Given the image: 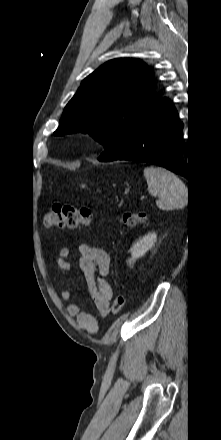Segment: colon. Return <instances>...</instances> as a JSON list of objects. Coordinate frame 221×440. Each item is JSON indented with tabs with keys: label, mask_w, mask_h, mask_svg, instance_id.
<instances>
[{
	"label": "colon",
	"mask_w": 221,
	"mask_h": 440,
	"mask_svg": "<svg viewBox=\"0 0 221 440\" xmlns=\"http://www.w3.org/2000/svg\"><path fill=\"white\" fill-rule=\"evenodd\" d=\"M144 212H125L119 216V223L123 227H134L144 222ZM93 220V212L87 208L74 205H52L44 217L45 225L49 228H77L80 225H89ZM125 305V297L117 295L112 303L111 312L118 314Z\"/></svg>",
	"instance_id": "colon-1"
}]
</instances>
